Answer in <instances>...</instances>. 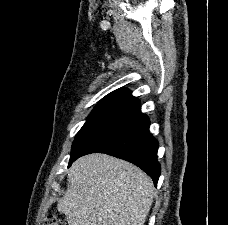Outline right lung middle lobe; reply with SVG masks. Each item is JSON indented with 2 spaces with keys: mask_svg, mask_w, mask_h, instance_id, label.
<instances>
[{
  "mask_svg": "<svg viewBox=\"0 0 228 225\" xmlns=\"http://www.w3.org/2000/svg\"><path fill=\"white\" fill-rule=\"evenodd\" d=\"M134 98L135 97L132 96L131 92L126 88L117 89L105 96L97 104V106L87 118L86 123L77 133L72 144V151L77 148V146L91 131H93L96 127L114 115L128 103H130Z\"/></svg>",
  "mask_w": 228,
  "mask_h": 225,
  "instance_id": "right-lung-middle-lobe-1",
  "label": "right lung middle lobe"
}]
</instances>
